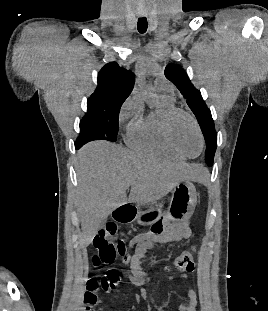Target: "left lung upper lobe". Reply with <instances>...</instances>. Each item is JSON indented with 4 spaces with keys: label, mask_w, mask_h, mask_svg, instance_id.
<instances>
[{
    "label": "left lung upper lobe",
    "mask_w": 268,
    "mask_h": 311,
    "mask_svg": "<svg viewBox=\"0 0 268 311\" xmlns=\"http://www.w3.org/2000/svg\"><path fill=\"white\" fill-rule=\"evenodd\" d=\"M164 73L166 78L173 82L181 92L196 116L206 142L205 162L208 166H212L217 148V133L210 109L202 99L200 91L193 86L188 75L180 66L168 64Z\"/></svg>",
    "instance_id": "5c2ea615"
}]
</instances>
